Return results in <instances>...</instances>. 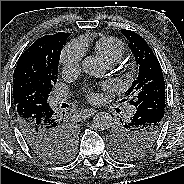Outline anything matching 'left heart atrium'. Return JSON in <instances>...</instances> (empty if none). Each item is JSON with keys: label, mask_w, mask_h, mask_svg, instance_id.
Segmentation results:
<instances>
[{"label": "left heart atrium", "mask_w": 184, "mask_h": 184, "mask_svg": "<svg viewBox=\"0 0 184 184\" xmlns=\"http://www.w3.org/2000/svg\"><path fill=\"white\" fill-rule=\"evenodd\" d=\"M105 88H108L109 86L108 85H104ZM86 94H87V97L90 99V100H96L98 98L96 92L92 89H88L86 91Z\"/></svg>", "instance_id": "1"}]
</instances>
